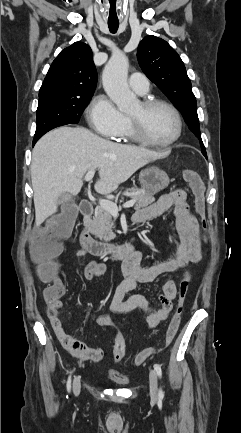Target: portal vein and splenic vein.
Here are the masks:
<instances>
[{
  "mask_svg": "<svg viewBox=\"0 0 241 433\" xmlns=\"http://www.w3.org/2000/svg\"><path fill=\"white\" fill-rule=\"evenodd\" d=\"M94 174H95V170L94 169L89 170L87 172V174L85 175L84 180L85 181H91L92 178L94 177ZM135 203H136V200L133 199V200H130V201L124 203L123 207L124 208L133 207ZM99 204H100V206L102 208H104L105 210L109 211L111 214H113V215H117L118 214L119 208H118V206H117L116 203H114L112 201H109V200H106V199H100L99 200Z\"/></svg>",
  "mask_w": 241,
  "mask_h": 433,
  "instance_id": "obj_1",
  "label": "portal vein and splenic vein"
}]
</instances>
